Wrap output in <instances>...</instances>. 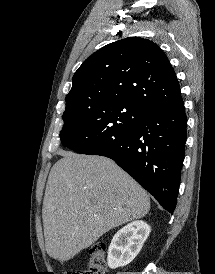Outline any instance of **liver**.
I'll return each mask as SVG.
<instances>
[{
    "label": "liver",
    "instance_id": "liver-1",
    "mask_svg": "<svg viewBox=\"0 0 215 274\" xmlns=\"http://www.w3.org/2000/svg\"><path fill=\"white\" fill-rule=\"evenodd\" d=\"M43 200L45 249L59 261L73 258L109 230L144 217L145 190L114 161L60 151Z\"/></svg>",
    "mask_w": 215,
    "mask_h": 274
}]
</instances>
